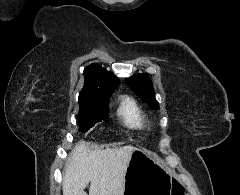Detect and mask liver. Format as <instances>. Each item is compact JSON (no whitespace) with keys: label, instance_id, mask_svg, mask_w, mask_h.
Returning <instances> with one entry per match:
<instances>
[{"label":"liver","instance_id":"6515ba94","mask_svg":"<svg viewBox=\"0 0 240 195\" xmlns=\"http://www.w3.org/2000/svg\"><path fill=\"white\" fill-rule=\"evenodd\" d=\"M133 145L92 149L78 141L64 169L63 195H123L126 169ZM90 183L89 193L84 191Z\"/></svg>","mask_w":240,"mask_h":195}]
</instances>
